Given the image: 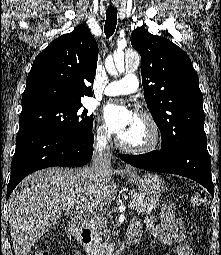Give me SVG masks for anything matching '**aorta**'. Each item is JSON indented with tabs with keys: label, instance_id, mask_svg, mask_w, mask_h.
Returning <instances> with one entry per match:
<instances>
[{
	"label": "aorta",
	"instance_id": "762f6f07",
	"mask_svg": "<svg viewBox=\"0 0 221 255\" xmlns=\"http://www.w3.org/2000/svg\"><path fill=\"white\" fill-rule=\"evenodd\" d=\"M139 65V57L134 52H127L125 55L123 53L114 54V66L115 69L122 73L126 70L134 71ZM106 68L109 70V65H106Z\"/></svg>",
	"mask_w": 221,
	"mask_h": 255
}]
</instances>
